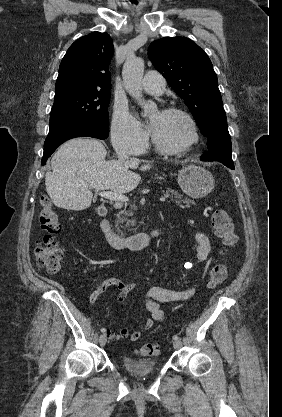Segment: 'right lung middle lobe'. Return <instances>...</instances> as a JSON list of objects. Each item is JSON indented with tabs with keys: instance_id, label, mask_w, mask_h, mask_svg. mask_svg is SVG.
Returning <instances> with one entry per match:
<instances>
[{
	"instance_id": "right-lung-middle-lobe-1",
	"label": "right lung middle lobe",
	"mask_w": 282,
	"mask_h": 417,
	"mask_svg": "<svg viewBox=\"0 0 282 417\" xmlns=\"http://www.w3.org/2000/svg\"><path fill=\"white\" fill-rule=\"evenodd\" d=\"M110 91L73 89L55 93L50 114V128L74 121L87 122L109 132Z\"/></svg>"
}]
</instances>
